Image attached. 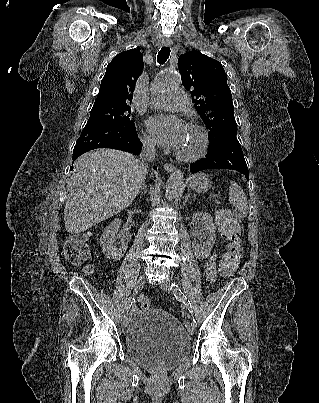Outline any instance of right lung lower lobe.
I'll use <instances>...</instances> for the list:
<instances>
[{
    "label": "right lung lower lobe",
    "instance_id": "1",
    "mask_svg": "<svg viewBox=\"0 0 319 403\" xmlns=\"http://www.w3.org/2000/svg\"><path fill=\"white\" fill-rule=\"evenodd\" d=\"M97 148H112L139 154L142 143L136 129H129L118 124L85 126L74 147L73 160ZM153 168L156 170L155 166Z\"/></svg>",
    "mask_w": 319,
    "mask_h": 403
}]
</instances>
